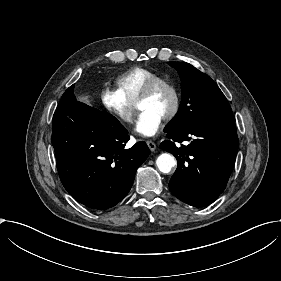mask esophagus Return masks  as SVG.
Wrapping results in <instances>:
<instances>
[{
    "label": "esophagus",
    "mask_w": 281,
    "mask_h": 281,
    "mask_svg": "<svg viewBox=\"0 0 281 281\" xmlns=\"http://www.w3.org/2000/svg\"><path fill=\"white\" fill-rule=\"evenodd\" d=\"M146 144L148 145V148H149L152 152L155 151L156 148H157L156 144H155L153 141H151V140L146 141Z\"/></svg>",
    "instance_id": "obj_1"
}]
</instances>
